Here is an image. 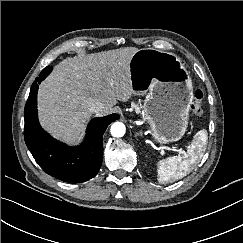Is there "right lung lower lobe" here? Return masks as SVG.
<instances>
[{
	"label": "right lung lower lobe",
	"mask_w": 243,
	"mask_h": 243,
	"mask_svg": "<svg viewBox=\"0 0 243 243\" xmlns=\"http://www.w3.org/2000/svg\"><path fill=\"white\" fill-rule=\"evenodd\" d=\"M51 71L52 67H45L32 84L24 109L25 142L36 162L47 174L65 182H85L98 173L103 160V134L119 115L93 119L88 125L84 143L78 147H69L52 138L41 128L37 116L38 86Z\"/></svg>",
	"instance_id": "right-lung-lower-lobe-1"
}]
</instances>
